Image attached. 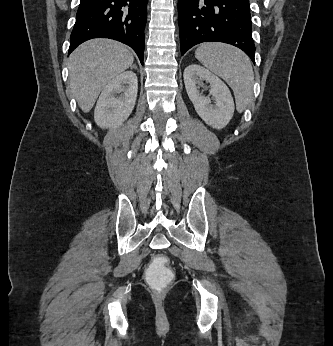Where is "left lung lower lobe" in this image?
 <instances>
[{
	"label": "left lung lower lobe",
	"mask_w": 333,
	"mask_h": 346,
	"mask_svg": "<svg viewBox=\"0 0 333 346\" xmlns=\"http://www.w3.org/2000/svg\"><path fill=\"white\" fill-rule=\"evenodd\" d=\"M181 55L202 42H224L255 63L249 0H178Z\"/></svg>",
	"instance_id": "1"
}]
</instances>
